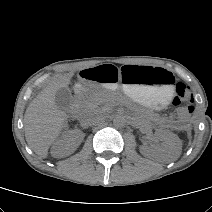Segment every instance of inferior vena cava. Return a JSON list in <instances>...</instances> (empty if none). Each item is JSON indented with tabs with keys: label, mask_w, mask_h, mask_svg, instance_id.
Returning a JSON list of instances; mask_svg holds the SVG:
<instances>
[{
	"label": "inferior vena cava",
	"mask_w": 212,
	"mask_h": 212,
	"mask_svg": "<svg viewBox=\"0 0 212 212\" xmlns=\"http://www.w3.org/2000/svg\"><path fill=\"white\" fill-rule=\"evenodd\" d=\"M102 116L99 115L97 112H88L84 117H83V124L85 126H91L98 124L102 121Z\"/></svg>",
	"instance_id": "inferior-vena-cava-1"
}]
</instances>
